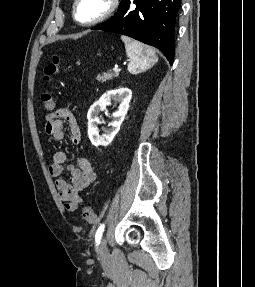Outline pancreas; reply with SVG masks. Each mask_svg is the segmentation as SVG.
<instances>
[{
  "instance_id": "pancreas-1",
  "label": "pancreas",
  "mask_w": 255,
  "mask_h": 287,
  "mask_svg": "<svg viewBox=\"0 0 255 287\" xmlns=\"http://www.w3.org/2000/svg\"><path fill=\"white\" fill-rule=\"evenodd\" d=\"M113 76H119V72H115V74H113V72H104V74H98L96 80H98V82H106V80H112Z\"/></svg>"
}]
</instances>
